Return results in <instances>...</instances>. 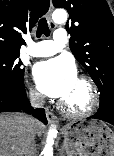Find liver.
<instances>
[{
  "instance_id": "liver-1",
  "label": "liver",
  "mask_w": 114,
  "mask_h": 156,
  "mask_svg": "<svg viewBox=\"0 0 114 156\" xmlns=\"http://www.w3.org/2000/svg\"><path fill=\"white\" fill-rule=\"evenodd\" d=\"M43 129L44 125L32 117L0 114V156H23L26 148L34 144L36 133L40 134Z\"/></svg>"
}]
</instances>
